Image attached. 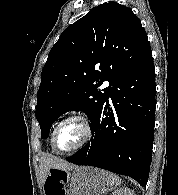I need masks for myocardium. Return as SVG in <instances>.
<instances>
[{
  "mask_svg": "<svg viewBox=\"0 0 178 195\" xmlns=\"http://www.w3.org/2000/svg\"><path fill=\"white\" fill-rule=\"evenodd\" d=\"M69 122H78L83 127V130H84L83 138L73 148H70L67 150H60L56 147L57 134H58L59 130L61 129V127ZM91 136H92V126H91V123L88 120V118L82 114H74V115H71V116L63 119L55 127V129L52 133V136H51V147H52L53 151L56 153H61V154L72 153V152H75V151L83 148L89 142Z\"/></svg>",
  "mask_w": 178,
  "mask_h": 195,
  "instance_id": "f54148a6",
  "label": "myocardium"
}]
</instances>
